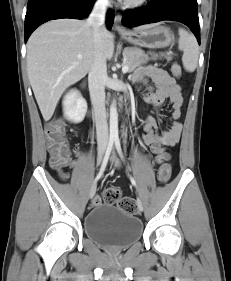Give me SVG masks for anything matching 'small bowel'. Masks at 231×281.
<instances>
[{
  "instance_id": "1",
  "label": "small bowel",
  "mask_w": 231,
  "mask_h": 281,
  "mask_svg": "<svg viewBox=\"0 0 231 281\" xmlns=\"http://www.w3.org/2000/svg\"><path fill=\"white\" fill-rule=\"evenodd\" d=\"M132 82L141 83L147 92L148 100L155 105H161L168 101L172 106V123L163 131H158V125L153 117H148L144 121L145 134L140 142V148L147 151V158L157 164H162L171 159V154L167 147L174 146L180 139L182 132L183 97L180 87L163 69L152 65H145L139 68L132 76ZM154 85V89L150 86ZM70 161L69 165H74ZM62 180H67L69 175L63 169H56Z\"/></svg>"
}]
</instances>
